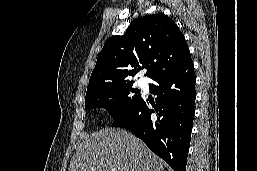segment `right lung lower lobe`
Here are the masks:
<instances>
[{
	"label": "right lung lower lobe",
	"mask_w": 257,
	"mask_h": 171,
	"mask_svg": "<svg viewBox=\"0 0 257 171\" xmlns=\"http://www.w3.org/2000/svg\"><path fill=\"white\" fill-rule=\"evenodd\" d=\"M152 79L155 84L149 87L157 95L154 108H148V101L141 97L112 126L131 130L174 171H186L196 98L193 61Z\"/></svg>",
	"instance_id": "obj_1"
}]
</instances>
